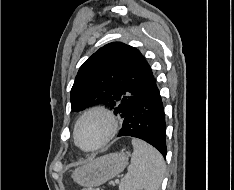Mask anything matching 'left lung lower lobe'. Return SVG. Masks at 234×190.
<instances>
[{"instance_id":"obj_1","label":"left lung lower lobe","mask_w":234,"mask_h":190,"mask_svg":"<svg viewBox=\"0 0 234 190\" xmlns=\"http://www.w3.org/2000/svg\"><path fill=\"white\" fill-rule=\"evenodd\" d=\"M150 73L148 84L130 103L118 136L142 139L154 146L165 158L167 148L164 108L152 71Z\"/></svg>"}]
</instances>
